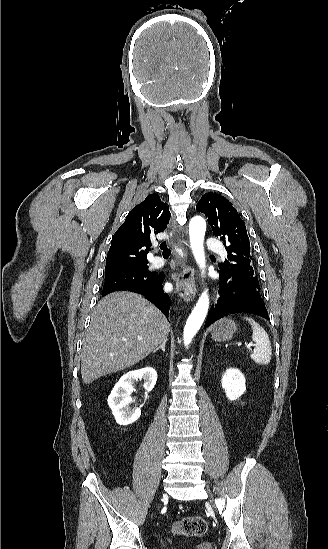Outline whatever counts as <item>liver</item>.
I'll return each mask as SVG.
<instances>
[{
  "instance_id": "liver-1",
  "label": "liver",
  "mask_w": 328,
  "mask_h": 549,
  "mask_svg": "<svg viewBox=\"0 0 328 549\" xmlns=\"http://www.w3.org/2000/svg\"><path fill=\"white\" fill-rule=\"evenodd\" d=\"M169 323L150 301L118 291L99 301L84 335L81 375L85 385L123 371L167 341ZM142 337V339H139Z\"/></svg>"
}]
</instances>
